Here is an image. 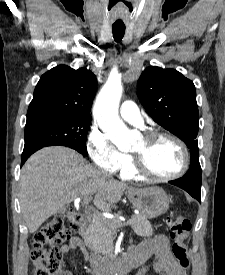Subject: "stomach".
<instances>
[{
    "label": "stomach",
    "mask_w": 225,
    "mask_h": 275,
    "mask_svg": "<svg viewBox=\"0 0 225 275\" xmlns=\"http://www.w3.org/2000/svg\"><path fill=\"white\" fill-rule=\"evenodd\" d=\"M128 198L133 207L146 218H156L166 213L170 199L166 192L158 187L151 186L143 189H130Z\"/></svg>",
    "instance_id": "obj_1"
}]
</instances>
